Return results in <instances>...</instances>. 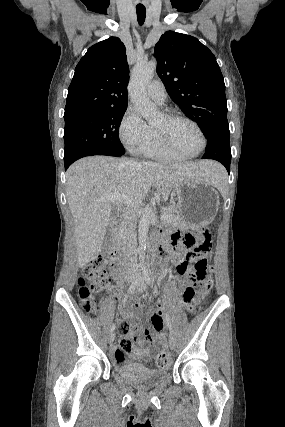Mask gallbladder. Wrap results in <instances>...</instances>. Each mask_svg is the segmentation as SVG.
Masks as SVG:
<instances>
[{
    "instance_id": "obj_1",
    "label": "gallbladder",
    "mask_w": 285,
    "mask_h": 427,
    "mask_svg": "<svg viewBox=\"0 0 285 427\" xmlns=\"http://www.w3.org/2000/svg\"><path fill=\"white\" fill-rule=\"evenodd\" d=\"M115 217V210H113L111 212V216H110V220L112 222V220ZM111 240H112V229L111 226L107 229L106 231V235H105V239H104V248H109L111 245Z\"/></svg>"
}]
</instances>
